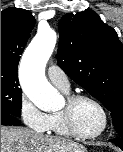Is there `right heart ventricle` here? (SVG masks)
I'll return each mask as SVG.
<instances>
[{"instance_id": "right-heart-ventricle-1", "label": "right heart ventricle", "mask_w": 123, "mask_h": 152, "mask_svg": "<svg viewBox=\"0 0 123 152\" xmlns=\"http://www.w3.org/2000/svg\"><path fill=\"white\" fill-rule=\"evenodd\" d=\"M64 92H68V91H64ZM50 115V127L49 130L50 132L59 135V136H63V137H69L72 136L68 130L66 129L60 111L58 112H54Z\"/></svg>"}]
</instances>
